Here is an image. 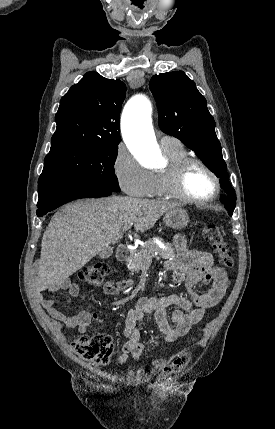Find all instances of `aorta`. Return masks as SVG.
Listing matches in <instances>:
<instances>
[{
    "label": "aorta",
    "instance_id": "762f6f07",
    "mask_svg": "<svg viewBox=\"0 0 275 429\" xmlns=\"http://www.w3.org/2000/svg\"><path fill=\"white\" fill-rule=\"evenodd\" d=\"M121 130L130 152L145 167L155 168L161 152L153 127L152 105L145 96H135L127 103L122 113Z\"/></svg>",
    "mask_w": 275,
    "mask_h": 429
}]
</instances>
